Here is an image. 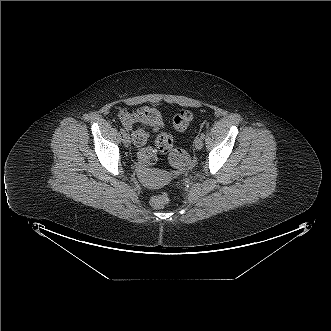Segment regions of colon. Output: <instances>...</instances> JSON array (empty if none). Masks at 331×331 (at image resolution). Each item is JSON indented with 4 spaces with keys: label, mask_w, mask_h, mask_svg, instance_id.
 Listing matches in <instances>:
<instances>
[{
    "label": "colon",
    "mask_w": 331,
    "mask_h": 331,
    "mask_svg": "<svg viewBox=\"0 0 331 331\" xmlns=\"http://www.w3.org/2000/svg\"><path fill=\"white\" fill-rule=\"evenodd\" d=\"M193 119V114L189 110H180L173 116V126L177 131H184L188 128ZM143 125L153 130H159L163 124L161 113L155 108H148L142 114ZM141 133H145L141 130ZM156 146L159 151L169 155V161L175 168H185L190 164L191 158L184 150L173 147L172 136L166 132H160L156 137ZM169 195L161 192L154 195L150 203L152 207L160 209L169 203Z\"/></svg>",
    "instance_id": "1"
}]
</instances>
